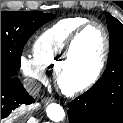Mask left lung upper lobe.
Listing matches in <instances>:
<instances>
[{
    "mask_svg": "<svg viewBox=\"0 0 123 123\" xmlns=\"http://www.w3.org/2000/svg\"><path fill=\"white\" fill-rule=\"evenodd\" d=\"M105 15L110 37V51L106 70L98 82L106 85L123 77V25L109 13Z\"/></svg>",
    "mask_w": 123,
    "mask_h": 123,
    "instance_id": "5c2ea615",
    "label": "left lung upper lobe"
}]
</instances>
